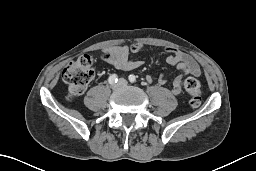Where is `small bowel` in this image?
Wrapping results in <instances>:
<instances>
[{"mask_svg": "<svg viewBox=\"0 0 256 171\" xmlns=\"http://www.w3.org/2000/svg\"><path fill=\"white\" fill-rule=\"evenodd\" d=\"M145 45L142 43H133L131 45L123 46H112L105 49L103 57L106 62L113 65L116 69L122 71H130L138 68L142 61L130 59V53H137L144 49ZM166 52L168 56L165 58L167 65L181 71V73L174 79L171 93L174 95H179L183 89V82L186 76H200L201 69L197 62L189 54L173 48L166 47ZM157 81L160 85L167 83V79L164 73H161Z\"/></svg>", "mask_w": 256, "mask_h": 171, "instance_id": "obj_1", "label": "small bowel"}]
</instances>
